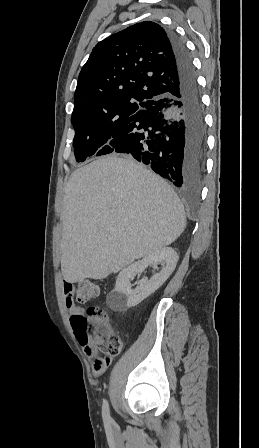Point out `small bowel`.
I'll list each match as a JSON object with an SVG mask.
<instances>
[{
    "instance_id": "c3829d8e",
    "label": "small bowel",
    "mask_w": 259,
    "mask_h": 448,
    "mask_svg": "<svg viewBox=\"0 0 259 448\" xmlns=\"http://www.w3.org/2000/svg\"><path fill=\"white\" fill-rule=\"evenodd\" d=\"M63 291H64V296H65V303L70 312L71 318L74 316H77V315L84 314V309L77 306L74 302L73 285L68 281H64ZM83 350H84L86 357L89 360L93 361V366H92L93 375L100 376L103 373H105L111 363V358L108 356L100 357L98 355L97 347L93 344L85 345L83 347Z\"/></svg>"
}]
</instances>
